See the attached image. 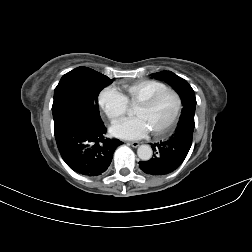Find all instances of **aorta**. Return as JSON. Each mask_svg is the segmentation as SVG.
I'll return each instance as SVG.
<instances>
[{
    "label": "aorta",
    "instance_id": "1",
    "mask_svg": "<svg viewBox=\"0 0 252 252\" xmlns=\"http://www.w3.org/2000/svg\"><path fill=\"white\" fill-rule=\"evenodd\" d=\"M137 154L141 160L147 161L151 159L153 151L149 145H141L137 149Z\"/></svg>",
    "mask_w": 252,
    "mask_h": 252
}]
</instances>
